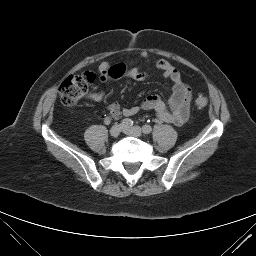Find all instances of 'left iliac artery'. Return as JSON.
<instances>
[{"mask_svg":"<svg viewBox=\"0 0 256 256\" xmlns=\"http://www.w3.org/2000/svg\"><path fill=\"white\" fill-rule=\"evenodd\" d=\"M142 130H143V133L145 134H149L151 133L152 131V127L148 124H145L143 127H142Z\"/></svg>","mask_w":256,"mask_h":256,"instance_id":"1","label":"left iliac artery"}]
</instances>
